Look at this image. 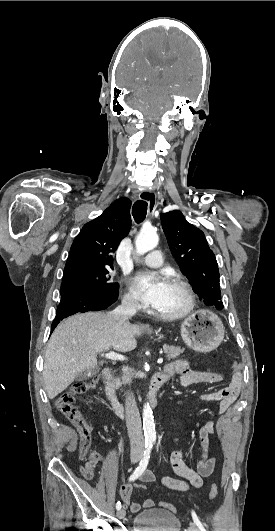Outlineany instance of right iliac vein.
Here are the masks:
<instances>
[{
	"label": "right iliac vein",
	"instance_id": "1",
	"mask_svg": "<svg viewBox=\"0 0 275 531\" xmlns=\"http://www.w3.org/2000/svg\"><path fill=\"white\" fill-rule=\"evenodd\" d=\"M141 458H142V455H141V454H139V453H134V454H132V456H131V463H132V464H136V463H138V462L140 461ZM125 515H126V513H125V510H124V509H120V510H118V512H117V517H118V518L122 519V518L125 517Z\"/></svg>",
	"mask_w": 275,
	"mask_h": 531
}]
</instances>
